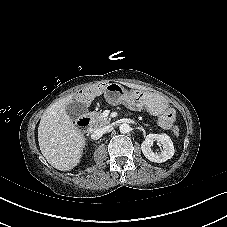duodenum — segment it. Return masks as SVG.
<instances>
[{
  "instance_id": "obj_1",
  "label": "duodenum",
  "mask_w": 227,
  "mask_h": 227,
  "mask_svg": "<svg viewBox=\"0 0 227 227\" xmlns=\"http://www.w3.org/2000/svg\"><path fill=\"white\" fill-rule=\"evenodd\" d=\"M90 120L88 118H81L77 122V126L80 128V130L86 132L90 129Z\"/></svg>"
}]
</instances>
